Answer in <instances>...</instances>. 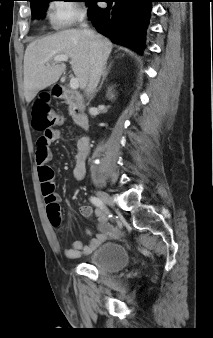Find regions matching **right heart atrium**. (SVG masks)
Returning a JSON list of instances; mask_svg holds the SVG:
<instances>
[{
  "label": "right heart atrium",
  "mask_w": 213,
  "mask_h": 338,
  "mask_svg": "<svg viewBox=\"0 0 213 338\" xmlns=\"http://www.w3.org/2000/svg\"><path fill=\"white\" fill-rule=\"evenodd\" d=\"M81 16L80 9L72 4L60 3L51 11V20L55 26H67L78 20Z\"/></svg>",
  "instance_id": "right-heart-atrium-1"
}]
</instances>
